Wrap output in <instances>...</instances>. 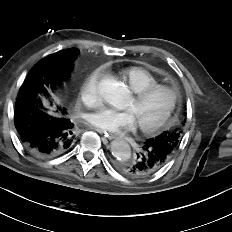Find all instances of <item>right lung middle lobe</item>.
<instances>
[{
  "mask_svg": "<svg viewBox=\"0 0 232 232\" xmlns=\"http://www.w3.org/2000/svg\"><path fill=\"white\" fill-rule=\"evenodd\" d=\"M75 56L76 51L74 50H68V52L62 50L43 58L35 64L21 86L16 99L15 108L18 102L22 100L21 96L25 94L24 90L33 89L34 91L28 94L32 95L34 98H38L40 101L39 108L42 114H44V117L56 118L62 116L64 112L59 107L55 112L47 111L46 103L44 102V104H42L39 95H45V92H47L46 87L54 80L67 76L71 64L75 60Z\"/></svg>",
  "mask_w": 232,
  "mask_h": 232,
  "instance_id": "right-lung-middle-lobe-1",
  "label": "right lung middle lobe"
}]
</instances>
